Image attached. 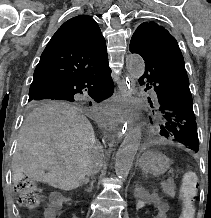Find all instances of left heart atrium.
I'll use <instances>...</instances> for the list:
<instances>
[{"label": "left heart atrium", "mask_w": 211, "mask_h": 218, "mask_svg": "<svg viewBox=\"0 0 211 218\" xmlns=\"http://www.w3.org/2000/svg\"><path fill=\"white\" fill-rule=\"evenodd\" d=\"M121 117V111L116 107H102L98 113V118L103 123H111Z\"/></svg>", "instance_id": "obj_1"}]
</instances>
